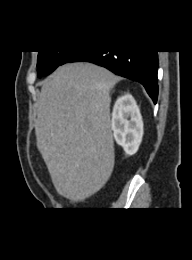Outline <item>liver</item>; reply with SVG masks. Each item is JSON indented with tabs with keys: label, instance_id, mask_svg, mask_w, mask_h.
I'll use <instances>...</instances> for the list:
<instances>
[{
	"label": "liver",
	"instance_id": "1",
	"mask_svg": "<svg viewBox=\"0 0 192 260\" xmlns=\"http://www.w3.org/2000/svg\"><path fill=\"white\" fill-rule=\"evenodd\" d=\"M119 81L92 63L63 65L42 85L36 139L56 191L72 201L99 191L114 167L110 90Z\"/></svg>",
	"mask_w": 192,
	"mask_h": 260
}]
</instances>
